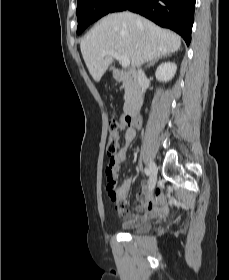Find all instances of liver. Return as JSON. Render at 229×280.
<instances>
[{
    "label": "liver",
    "instance_id": "liver-1",
    "mask_svg": "<svg viewBox=\"0 0 229 280\" xmlns=\"http://www.w3.org/2000/svg\"><path fill=\"white\" fill-rule=\"evenodd\" d=\"M180 46L181 38L176 33L130 12L105 16L80 43L84 62L95 82L100 81L114 60L110 55L102 57L104 51H115L129 58L135 68L155 57L170 55Z\"/></svg>",
    "mask_w": 229,
    "mask_h": 280
}]
</instances>
